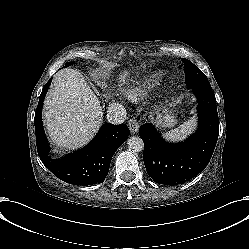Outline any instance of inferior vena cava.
I'll return each instance as SVG.
<instances>
[{
    "label": "inferior vena cava",
    "instance_id": "inferior-vena-cava-1",
    "mask_svg": "<svg viewBox=\"0 0 249 249\" xmlns=\"http://www.w3.org/2000/svg\"><path fill=\"white\" fill-rule=\"evenodd\" d=\"M107 120L112 124H121L126 120V109L122 104L111 103L107 107Z\"/></svg>",
    "mask_w": 249,
    "mask_h": 249
}]
</instances>
